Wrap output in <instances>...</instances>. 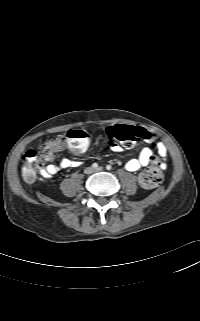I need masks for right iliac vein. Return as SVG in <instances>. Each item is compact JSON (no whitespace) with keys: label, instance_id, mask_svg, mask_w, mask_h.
I'll return each mask as SVG.
<instances>
[{"label":"right iliac vein","instance_id":"1","mask_svg":"<svg viewBox=\"0 0 200 321\" xmlns=\"http://www.w3.org/2000/svg\"><path fill=\"white\" fill-rule=\"evenodd\" d=\"M93 171H94V169H93L92 167H87V168L85 169V173H86V174H91V173H93Z\"/></svg>","mask_w":200,"mask_h":321}]
</instances>
